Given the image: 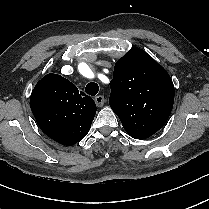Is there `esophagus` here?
I'll list each match as a JSON object with an SVG mask.
<instances>
[{"instance_id":"obj_1","label":"esophagus","mask_w":209,"mask_h":209,"mask_svg":"<svg viewBox=\"0 0 209 209\" xmlns=\"http://www.w3.org/2000/svg\"><path fill=\"white\" fill-rule=\"evenodd\" d=\"M95 103L98 107H102L105 103V97L103 95L96 96Z\"/></svg>"}]
</instances>
